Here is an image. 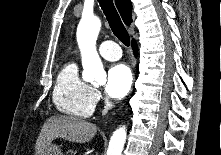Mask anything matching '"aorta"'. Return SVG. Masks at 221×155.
<instances>
[{
    "mask_svg": "<svg viewBox=\"0 0 221 155\" xmlns=\"http://www.w3.org/2000/svg\"><path fill=\"white\" fill-rule=\"evenodd\" d=\"M101 28L100 19L84 17L77 28V42L82 57V77L87 82L98 83L106 81V72L96 50V40ZM126 140V128L116 129L110 139L107 155H121Z\"/></svg>",
    "mask_w": 221,
    "mask_h": 155,
    "instance_id": "1",
    "label": "aorta"
}]
</instances>
